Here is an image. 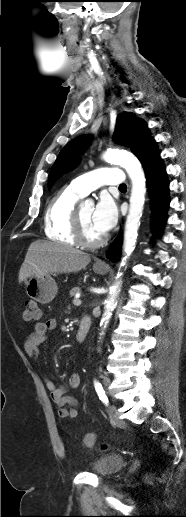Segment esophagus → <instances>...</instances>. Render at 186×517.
Masks as SVG:
<instances>
[{
  "label": "esophagus",
  "instance_id": "esophagus-1",
  "mask_svg": "<svg viewBox=\"0 0 186 517\" xmlns=\"http://www.w3.org/2000/svg\"><path fill=\"white\" fill-rule=\"evenodd\" d=\"M96 264H97V265H103V263H102V262H100V261H97V262H96Z\"/></svg>",
  "mask_w": 186,
  "mask_h": 517
}]
</instances>
